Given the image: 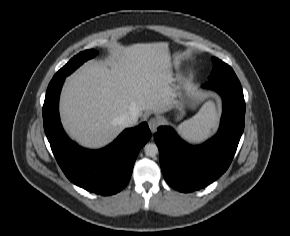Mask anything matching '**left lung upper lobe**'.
Here are the masks:
<instances>
[{
    "instance_id": "obj_1",
    "label": "left lung upper lobe",
    "mask_w": 290,
    "mask_h": 236,
    "mask_svg": "<svg viewBox=\"0 0 290 236\" xmlns=\"http://www.w3.org/2000/svg\"><path fill=\"white\" fill-rule=\"evenodd\" d=\"M212 62L214 67L210 76V80L229 76H236L233 69L218 58L213 57Z\"/></svg>"
}]
</instances>
